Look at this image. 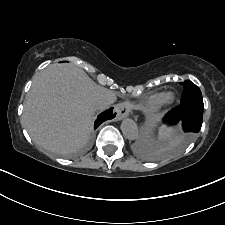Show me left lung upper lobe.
I'll return each instance as SVG.
<instances>
[{
  "instance_id": "1",
  "label": "left lung upper lobe",
  "mask_w": 225,
  "mask_h": 225,
  "mask_svg": "<svg viewBox=\"0 0 225 225\" xmlns=\"http://www.w3.org/2000/svg\"><path fill=\"white\" fill-rule=\"evenodd\" d=\"M184 91L182 94V103L190 102H203L202 94L198 86L192 83L190 80H186L183 83ZM193 135L186 134V138H191Z\"/></svg>"
}]
</instances>
